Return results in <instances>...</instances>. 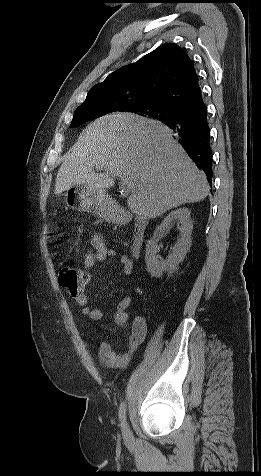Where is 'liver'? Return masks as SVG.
<instances>
[{"mask_svg":"<svg viewBox=\"0 0 261 476\" xmlns=\"http://www.w3.org/2000/svg\"><path fill=\"white\" fill-rule=\"evenodd\" d=\"M104 170L105 173H95ZM115 176L134 183L127 204L145 219L161 216L184 203L205 199L206 175L159 121L132 113L102 116L80 134L60 166L55 193L75 185H88L98 192L115 184Z\"/></svg>","mask_w":261,"mask_h":476,"instance_id":"liver-1","label":"liver"}]
</instances>
